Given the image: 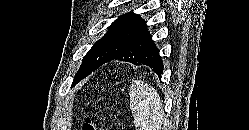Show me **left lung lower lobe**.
<instances>
[{
	"label": "left lung lower lobe",
	"mask_w": 249,
	"mask_h": 130,
	"mask_svg": "<svg viewBox=\"0 0 249 130\" xmlns=\"http://www.w3.org/2000/svg\"><path fill=\"white\" fill-rule=\"evenodd\" d=\"M111 60L130 62L135 65H147L160 77L163 72V63L159 55V49L156 47L147 28Z\"/></svg>",
	"instance_id": "left-lung-lower-lobe-1"
}]
</instances>
